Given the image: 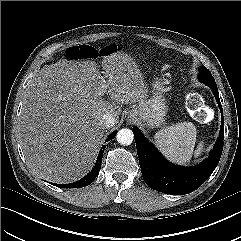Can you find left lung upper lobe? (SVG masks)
<instances>
[{
    "mask_svg": "<svg viewBox=\"0 0 241 241\" xmlns=\"http://www.w3.org/2000/svg\"><path fill=\"white\" fill-rule=\"evenodd\" d=\"M199 80L204 84L208 85H216L213 76L211 75L210 71L207 70L205 67H202L199 70Z\"/></svg>",
    "mask_w": 241,
    "mask_h": 241,
    "instance_id": "obj_1",
    "label": "left lung upper lobe"
}]
</instances>
